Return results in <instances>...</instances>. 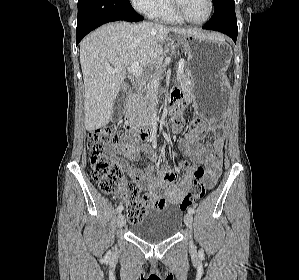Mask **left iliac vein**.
<instances>
[{"label":"left iliac vein","instance_id":"4c4485c4","mask_svg":"<svg viewBox=\"0 0 299 280\" xmlns=\"http://www.w3.org/2000/svg\"><path fill=\"white\" fill-rule=\"evenodd\" d=\"M184 222L186 226L188 227L189 230L192 228V223H193V216L190 213H187L184 217ZM190 246H193V243L190 241Z\"/></svg>","mask_w":299,"mask_h":280}]
</instances>
